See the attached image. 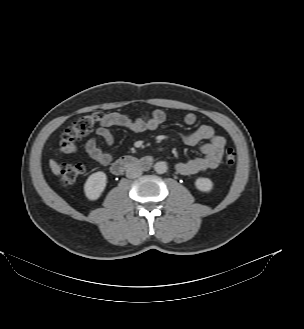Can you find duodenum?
I'll return each mask as SVG.
<instances>
[{
	"label": "duodenum",
	"mask_w": 304,
	"mask_h": 329,
	"mask_svg": "<svg viewBox=\"0 0 304 329\" xmlns=\"http://www.w3.org/2000/svg\"><path fill=\"white\" fill-rule=\"evenodd\" d=\"M149 163V158L138 159L136 157L126 156L112 164L111 172L115 175H121L129 169L146 167Z\"/></svg>",
	"instance_id": "410a0bca"
}]
</instances>
